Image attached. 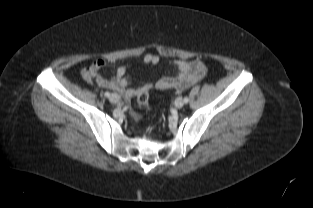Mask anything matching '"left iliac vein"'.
Segmentation results:
<instances>
[{
    "label": "left iliac vein",
    "instance_id": "1",
    "mask_svg": "<svg viewBox=\"0 0 313 208\" xmlns=\"http://www.w3.org/2000/svg\"><path fill=\"white\" fill-rule=\"evenodd\" d=\"M174 104L176 108L180 109L183 107L184 101L182 100V98H177Z\"/></svg>",
    "mask_w": 313,
    "mask_h": 208
}]
</instances>
